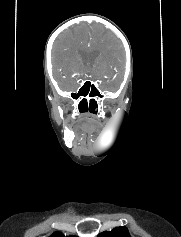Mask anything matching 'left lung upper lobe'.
Listing matches in <instances>:
<instances>
[{
  "instance_id": "1",
  "label": "left lung upper lobe",
  "mask_w": 181,
  "mask_h": 237,
  "mask_svg": "<svg viewBox=\"0 0 181 237\" xmlns=\"http://www.w3.org/2000/svg\"><path fill=\"white\" fill-rule=\"evenodd\" d=\"M97 237H131L126 227H116L110 232H102Z\"/></svg>"
}]
</instances>
